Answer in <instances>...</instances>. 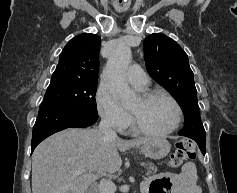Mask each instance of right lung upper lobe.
Segmentation results:
<instances>
[{
  "instance_id": "obj_1",
  "label": "right lung upper lobe",
  "mask_w": 237,
  "mask_h": 193,
  "mask_svg": "<svg viewBox=\"0 0 237 193\" xmlns=\"http://www.w3.org/2000/svg\"><path fill=\"white\" fill-rule=\"evenodd\" d=\"M101 39L95 34H80L64 47L52 76L97 81Z\"/></svg>"
}]
</instances>
